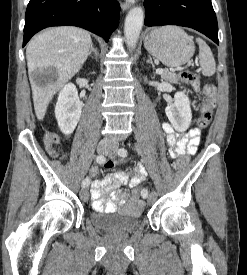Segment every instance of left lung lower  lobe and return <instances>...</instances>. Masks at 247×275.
<instances>
[{
    "mask_svg": "<svg viewBox=\"0 0 247 275\" xmlns=\"http://www.w3.org/2000/svg\"><path fill=\"white\" fill-rule=\"evenodd\" d=\"M146 26L193 28L218 44V24L211 0H145Z\"/></svg>",
    "mask_w": 247,
    "mask_h": 275,
    "instance_id": "1",
    "label": "left lung lower lobe"
}]
</instances>
